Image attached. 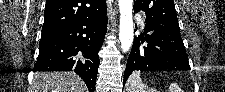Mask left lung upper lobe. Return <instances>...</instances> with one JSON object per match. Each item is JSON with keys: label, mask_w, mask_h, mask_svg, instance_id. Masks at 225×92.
<instances>
[{"label": "left lung upper lobe", "mask_w": 225, "mask_h": 92, "mask_svg": "<svg viewBox=\"0 0 225 92\" xmlns=\"http://www.w3.org/2000/svg\"><path fill=\"white\" fill-rule=\"evenodd\" d=\"M133 8L135 12H145V22L162 24L180 32L173 0H136Z\"/></svg>", "instance_id": "left-lung-upper-lobe-1"}]
</instances>
